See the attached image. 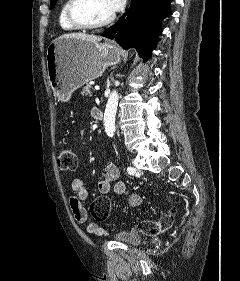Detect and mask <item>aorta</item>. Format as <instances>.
Returning a JSON list of instances; mask_svg holds the SVG:
<instances>
[{"instance_id":"762f6f07","label":"aorta","mask_w":240,"mask_h":281,"mask_svg":"<svg viewBox=\"0 0 240 281\" xmlns=\"http://www.w3.org/2000/svg\"><path fill=\"white\" fill-rule=\"evenodd\" d=\"M119 95L116 90L112 91L106 105L104 113V127L105 132L109 137H113L116 127H115V115L118 106Z\"/></svg>"}]
</instances>
